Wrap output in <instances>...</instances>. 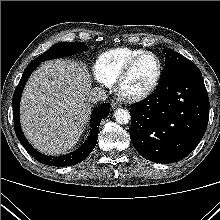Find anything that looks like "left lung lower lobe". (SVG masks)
Returning <instances> with one entry per match:
<instances>
[{
  "label": "left lung lower lobe",
  "instance_id": "1",
  "mask_svg": "<svg viewBox=\"0 0 220 220\" xmlns=\"http://www.w3.org/2000/svg\"><path fill=\"white\" fill-rule=\"evenodd\" d=\"M131 141L145 159L173 163L189 155L208 124L209 98L192 62L166 66L157 90L131 105Z\"/></svg>",
  "mask_w": 220,
  "mask_h": 220
}]
</instances>
